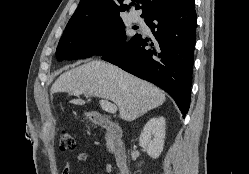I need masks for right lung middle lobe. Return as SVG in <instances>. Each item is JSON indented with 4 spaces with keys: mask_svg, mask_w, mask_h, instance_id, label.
<instances>
[{
    "mask_svg": "<svg viewBox=\"0 0 249 174\" xmlns=\"http://www.w3.org/2000/svg\"><path fill=\"white\" fill-rule=\"evenodd\" d=\"M139 36L136 34L128 43L125 42V26L121 17L66 26L56 58L63 61L115 54L130 46ZM100 43L106 47L101 48Z\"/></svg>",
    "mask_w": 249,
    "mask_h": 174,
    "instance_id": "dd1d6c3e",
    "label": "right lung middle lobe"
}]
</instances>
